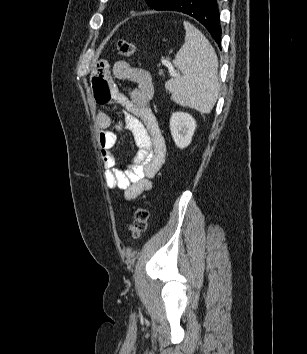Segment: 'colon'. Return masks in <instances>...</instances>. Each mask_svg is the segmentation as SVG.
<instances>
[{
    "instance_id": "colon-1",
    "label": "colon",
    "mask_w": 307,
    "mask_h": 354,
    "mask_svg": "<svg viewBox=\"0 0 307 354\" xmlns=\"http://www.w3.org/2000/svg\"><path fill=\"white\" fill-rule=\"evenodd\" d=\"M118 52L125 57L132 56L134 53V45L125 40L120 39L117 42ZM149 221V212L146 207L138 206L134 213L133 222L130 225V231L133 237L138 238L143 232L146 231Z\"/></svg>"
}]
</instances>
